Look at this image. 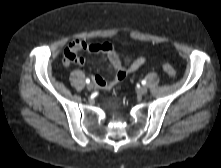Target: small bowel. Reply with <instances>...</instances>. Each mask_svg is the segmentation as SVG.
<instances>
[{"instance_id":"small-bowel-1","label":"small bowel","mask_w":221,"mask_h":168,"mask_svg":"<svg viewBox=\"0 0 221 168\" xmlns=\"http://www.w3.org/2000/svg\"><path fill=\"white\" fill-rule=\"evenodd\" d=\"M80 51H87L100 55L107 62L109 67L114 70V76L110 80H105L100 76L94 77L95 84L104 90L111 89L118 82L123 80L129 73L138 70L146 62L144 57H139L134 60L128 59L125 63H123L111 44L87 43L83 40L76 39L71 41L65 49L63 57L64 65H70L71 63H76L80 66L85 65V58L76 57V53Z\"/></svg>"}]
</instances>
